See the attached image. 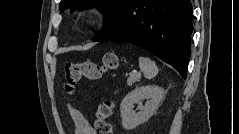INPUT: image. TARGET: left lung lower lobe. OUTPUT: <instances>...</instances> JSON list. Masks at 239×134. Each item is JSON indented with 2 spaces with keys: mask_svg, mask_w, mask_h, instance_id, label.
<instances>
[{
  "mask_svg": "<svg viewBox=\"0 0 239 134\" xmlns=\"http://www.w3.org/2000/svg\"><path fill=\"white\" fill-rule=\"evenodd\" d=\"M192 31L191 0H129L116 22L93 41L137 45L186 79Z\"/></svg>",
  "mask_w": 239,
  "mask_h": 134,
  "instance_id": "obj_1",
  "label": "left lung lower lobe"
}]
</instances>
